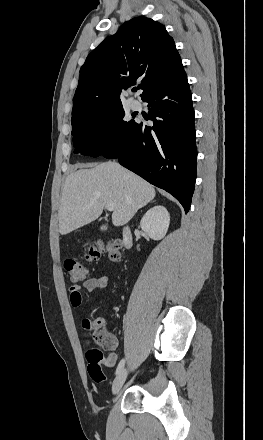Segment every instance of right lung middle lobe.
<instances>
[{"label": "right lung middle lobe", "mask_w": 263, "mask_h": 440, "mask_svg": "<svg viewBox=\"0 0 263 440\" xmlns=\"http://www.w3.org/2000/svg\"><path fill=\"white\" fill-rule=\"evenodd\" d=\"M121 106L91 111L71 120L75 153L97 157L108 146L118 144L136 125L124 121Z\"/></svg>", "instance_id": "obj_1"}]
</instances>
